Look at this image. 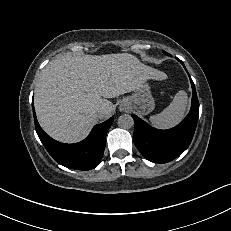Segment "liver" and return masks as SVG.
<instances>
[{
	"mask_svg": "<svg viewBox=\"0 0 231 231\" xmlns=\"http://www.w3.org/2000/svg\"><path fill=\"white\" fill-rule=\"evenodd\" d=\"M148 79L165 80L167 75L129 53L61 55L46 65L36 84L38 121L60 142L81 141L99 119L114 112L108 99L134 91Z\"/></svg>",
	"mask_w": 231,
	"mask_h": 231,
	"instance_id": "liver-1",
	"label": "liver"
}]
</instances>
